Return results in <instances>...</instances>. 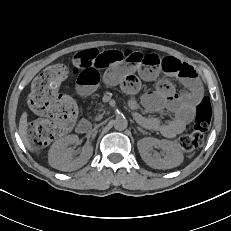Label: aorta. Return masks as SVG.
Instances as JSON below:
<instances>
[{
    "label": "aorta",
    "mask_w": 231,
    "mask_h": 231,
    "mask_svg": "<svg viewBox=\"0 0 231 231\" xmlns=\"http://www.w3.org/2000/svg\"><path fill=\"white\" fill-rule=\"evenodd\" d=\"M114 128L116 130L122 131L125 130L128 126V121L124 116H118L113 122Z\"/></svg>",
    "instance_id": "aorta-1"
}]
</instances>
